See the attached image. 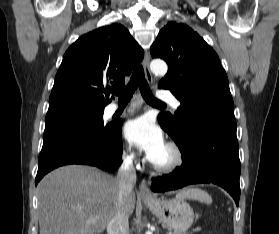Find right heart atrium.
I'll list each match as a JSON object with an SVG mask.
<instances>
[{"mask_svg": "<svg viewBox=\"0 0 279 234\" xmlns=\"http://www.w3.org/2000/svg\"><path fill=\"white\" fill-rule=\"evenodd\" d=\"M122 159L128 165H133L136 162V153L132 147H124L122 151Z\"/></svg>", "mask_w": 279, "mask_h": 234, "instance_id": "obj_1", "label": "right heart atrium"}]
</instances>
